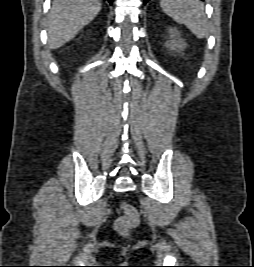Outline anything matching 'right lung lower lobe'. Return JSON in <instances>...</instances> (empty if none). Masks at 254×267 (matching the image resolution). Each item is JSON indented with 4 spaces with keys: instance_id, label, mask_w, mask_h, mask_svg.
<instances>
[{
    "instance_id": "right-lung-lower-lobe-1",
    "label": "right lung lower lobe",
    "mask_w": 254,
    "mask_h": 267,
    "mask_svg": "<svg viewBox=\"0 0 254 267\" xmlns=\"http://www.w3.org/2000/svg\"><path fill=\"white\" fill-rule=\"evenodd\" d=\"M111 5H112V3H113V0H107Z\"/></svg>"
}]
</instances>
